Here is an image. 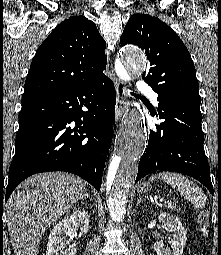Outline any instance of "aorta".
Segmentation results:
<instances>
[{
    "label": "aorta",
    "instance_id": "aorta-1",
    "mask_svg": "<svg viewBox=\"0 0 221 255\" xmlns=\"http://www.w3.org/2000/svg\"><path fill=\"white\" fill-rule=\"evenodd\" d=\"M125 68L119 72L122 78L128 75L139 77L146 68V57L137 47L127 46L121 51ZM147 130L140 109L130 111L119 150L113 156L106 178L107 205L114 222L124 220L129 190L136 178L138 160L146 148Z\"/></svg>",
    "mask_w": 221,
    "mask_h": 255
}]
</instances>
